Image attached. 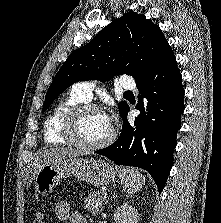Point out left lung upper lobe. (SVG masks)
I'll return each mask as SVG.
<instances>
[{
    "instance_id": "1",
    "label": "left lung upper lobe",
    "mask_w": 221,
    "mask_h": 223,
    "mask_svg": "<svg viewBox=\"0 0 221 223\" xmlns=\"http://www.w3.org/2000/svg\"><path fill=\"white\" fill-rule=\"evenodd\" d=\"M168 47L159 26L144 15L129 12L115 19L88 44L70 54L47 91L42 111L79 81H109L115 74H129L139 83L151 73ZM118 106L121 114L128 104L122 101Z\"/></svg>"
}]
</instances>
